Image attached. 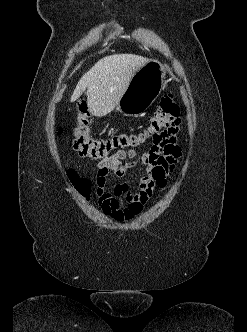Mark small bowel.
I'll return each instance as SVG.
<instances>
[{
	"label": "small bowel",
	"mask_w": 247,
	"mask_h": 332,
	"mask_svg": "<svg viewBox=\"0 0 247 332\" xmlns=\"http://www.w3.org/2000/svg\"><path fill=\"white\" fill-rule=\"evenodd\" d=\"M180 156L181 149L176 143L175 134L165 144L154 145L142 153L132 149L119 150L100 160L93 181L103 213L119 222L140 214L154 192L165 187L167 177ZM125 160L133 162L124 164ZM136 163H142L146 167V175L141 179L136 192H132L125 182L116 185L112 192L105 189L109 173L123 177L127 169Z\"/></svg>",
	"instance_id": "obj_1"
}]
</instances>
